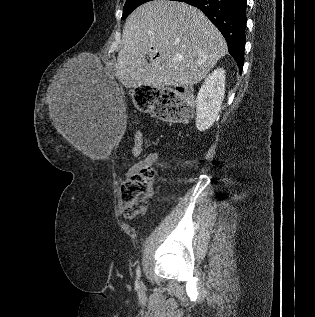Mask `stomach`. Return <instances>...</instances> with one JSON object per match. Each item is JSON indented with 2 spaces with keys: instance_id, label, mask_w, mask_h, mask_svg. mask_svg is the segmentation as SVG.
<instances>
[{
  "instance_id": "1",
  "label": "stomach",
  "mask_w": 315,
  "mask_h": 317,
  "mask_svg": "<svg viewBox=\"0 0 315 317\" xmlns=\"http://www.w3.org/2000/svg\"><path fill=\"white\" fill-rule=\"evenodd\" d=\"M133 95H160V88H152V84H138V88H133ZM135 104L140 111H153L156 97H135Z\"/></svg>"
}]
</instances>
